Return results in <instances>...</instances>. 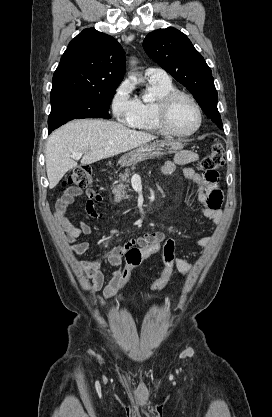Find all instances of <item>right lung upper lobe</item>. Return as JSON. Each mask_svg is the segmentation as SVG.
<instances>
[{"label": "right lung upper lobe", "mask_w": 272, "mask_h": 417, "mask_svg": "<svg viewBox=\"0 0 272 417\" xmlns=\"http://www.w3.org/2000/svg\"><path fill=\"white\" fill-rule=\"evenodd\" d=\"M124 72V52L117 40L87 28L71 40L61 57L51 94L117 88Z\"/></svg>", "instance_id": "1"}]
</instances>
